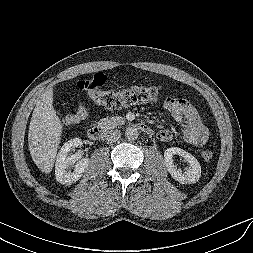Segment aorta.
Instances as JSON below:
<instances>
[{
  "instance_id": "aorta-1",
  "label": "aorta",
  "mask_w": 253,
  "mask_h": 253,
  "mask_svg": "<svg viewBox=\"0 0 253 253\" xmlns=\"http://www.w3.org/2000/svg\"><path fill=\"white\" fill-rule=\"evenodd\" d=\"M139 136V132L136 128L134 127H128L126 130H125V137L128 139V140H135L137 139Z\"/></svg>"
}]
</instances>
